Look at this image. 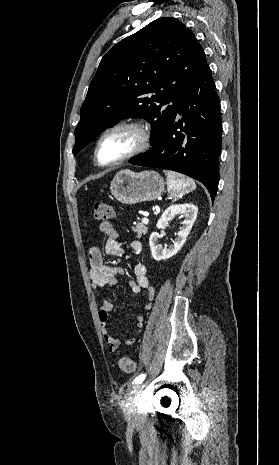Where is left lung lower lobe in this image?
<instances>
[{
    "label": "left lung lower lobe",
    "instance_id": "1",
    "mask_svg": "<svg viewBox=\"0 0 279 465\" xmlns=\"http://www.w3.org/2000/svg\"><path fill=\"white\" fill-rule=\"evenodd\" d=\"M178 113L183 116L182 120L174 119L150 150L129 161L190 176L205 185L214 201L219 180L222 120L220 101L205 56L182 97Z\"/></svg>",
    "mask_w": 279,
    "mask_h": 465
}]
</instances>
